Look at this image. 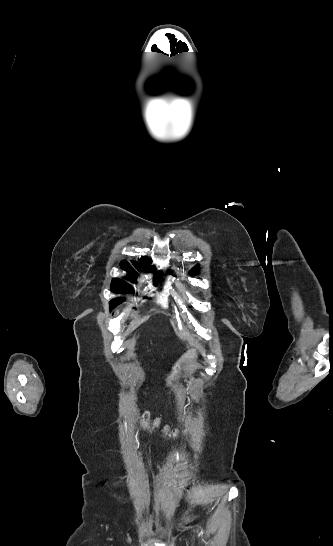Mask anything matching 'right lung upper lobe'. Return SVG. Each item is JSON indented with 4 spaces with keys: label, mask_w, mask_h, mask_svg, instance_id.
<instances>
[{
    "label": "right lung upper lobe",
    "mask_w": 333,
    "mask_h": 546,
    "mask_svg": "<svg viewBox=\"0 0 333 546\" xmlns=\"http://www.w3.org/2000/svg\"><path fill=\"white\" fill-rule=\"evenodd\" d=\"M140 261H141L142 263H146V264H147L145 270H150V269H151V265H150L151 259H146L145 257H142V258L140 259ZM133 265H134L138 270H143V265H142V264L133 262ZM121 266H122V268H123L124 270L128 271L129 274H132V275L136 276L135 270L131 267V265H130L127 261H123V262L121 263Z\"/></svg>",
    "instance_id": "obj_1"
}]
</instances>
